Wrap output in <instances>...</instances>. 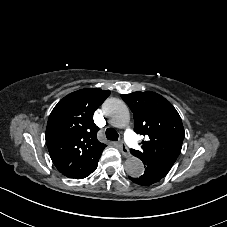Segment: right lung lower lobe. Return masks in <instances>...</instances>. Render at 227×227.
<instances>
[{"mask_svg":"<svg viewBox=\"0 0 227 227\" xmlns=\"http://www.w3.org/2000/svg\"><path fill=\"white\" fill-rule=\"evenodd\" d=\"M86 160L84 155H80L70 165L65 167L64 170L59 171L69 178H85L95 171L99 158L92 161L89 165L86 164Z\"/></svg>","mask_w":227,"mask_h":227,"instance_id":"98d812e1","label":"right lung lower lobe"}]
</instances>
